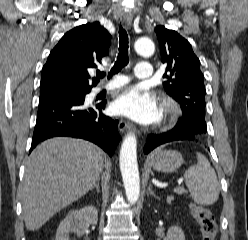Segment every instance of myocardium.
Segmentation results:
<instances>
[{"instance_id":"f54148a6","label":"myocardium","mask_w":248,"mask_h":240,"mask_svg":"<svg viewBox=\"0 0 248 240\" xmlns=\"http://www.w3.org/2000/svg\"><path fill=\"white\" fill-rule=\"evenodd\" d=\"M161 125L170 127L175 125L182 116L180 104L170 96H164L160 102Z\"/></svg>"}]
</instances>
